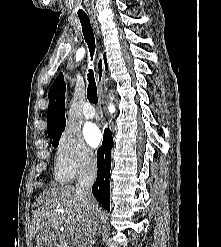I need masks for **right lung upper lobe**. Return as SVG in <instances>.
Segmentation results:
<instances>
[{
  "mask_svg": "<svg viewBox=\"0 0 221 247\" xmlns=\"http://www.w3.org/2000/svg\"><path fill=\"white\" fill-rule=\"evenodd\" d=\"M104 61L107 69L108 65L106 63L105 54ZM65 87L63 74L60 73L49 90V106L47 115V133L49 138L62 134L65 128Z\"/></svg>",
  "mask_w": 221,
  "mask_h": 247,
  "instance_id": "cb5924a9",
  "label": "right lung upper lobe"
}]
</instances>
